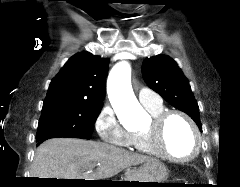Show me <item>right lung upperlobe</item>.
Segmentation results:
<instances>
[{
    "label": "right lung upper lobe",
    "instance_id": "1",
    "mask_svg": "<svg viewBox=\"0 0 240 187\" xmlns=\"http://www.w3.org/2000/svg\"><path fill=\"white\" fill-rule=\"evenodd\" d=\"M109 60L80 52L72 56L52 79L43 107L58 104H103Z\"/></svg>",
    "mask_w": 240,
    "mask_h": 187
}]
</instances>
